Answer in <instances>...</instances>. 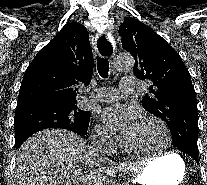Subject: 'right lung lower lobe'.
<instances>
[{
	"mask_svg": "<svg viewBox=\"0 0 207 185\" xmlns=\"http://www.w3.org/2000/svg\"><path fill=\"white\" fill-rule=\"evenodd\" d=\"M79 135H81V134H79ZM24 141H25V140H24ZM24 141L17 143V144H16V148H19V147L21 146V144H22Z\"/></svg>",
	"mask_w": 207,
	"mask_h": 185,
	"instance_id": "1",
	"label": "right lung lower lobe"
}]
</instances>
